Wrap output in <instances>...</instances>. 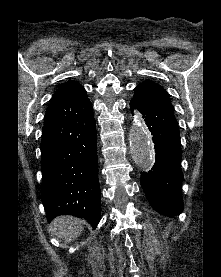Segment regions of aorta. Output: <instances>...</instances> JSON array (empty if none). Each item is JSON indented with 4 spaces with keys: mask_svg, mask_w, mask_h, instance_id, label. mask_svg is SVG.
Returning <instances> with one entry per match:
<instances>
[{
    "mask_svg": "<svg viewBox=\"0 0 221 277\" xmlns=\"http://www.w3.org/2000/svg\"><path fill=\"white\" fill-rule=\"evenodd\" d=\"M131 153L135 162L142 169H149L154 164L155 153L149 130L139 116H134L129 134Z\"/></svg>",
    "mask_w": 221,
    "mask_h": 277,
    "instance_id": "aorta-1",
    "label": "aorta"
}]
</instances>
